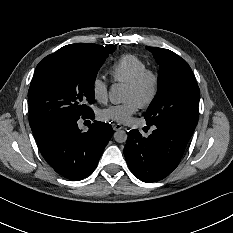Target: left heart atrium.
Returning <instances> with one entry per match:
<instances>
[{
  "instance_id": "obj_1",
  "label": "left heart atrium",
  "mask_w": 233,
  "mask_h": 233,
  "mask_svg": "<svg viewBox=\"0 0 233 233\" xmlns=\"http://www.w3.org/2000/svg\"><path fill=\"white\" fill-rule=\"evenodd\" d=\"M141 108V103L135 99H129L121 105H116L103 109L99 116L103 120H113L120 123L129 121L130 117L134 115Z\"/></svg>"
}]
</instances>
